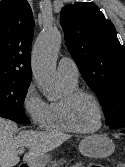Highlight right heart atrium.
Masks as SVG:
<instances>
[{
    "label": "right heart atrium",
    "instance_id": "d8ad5b80",
    "mask_svg": "<svg viewBox=\"0 0 125 167\" xmlns=\"http://www.w3.org/2000/svg\"><path fill=\"white\" fill-rule=\"evenodd\" d=\"M21 106L34 126L39 128L44 126L48 113V103L41 97L33 82L26 87Z\"/></svg>",
    "mask_w": 125,
    "mask_h": 167
}]
</instances>
